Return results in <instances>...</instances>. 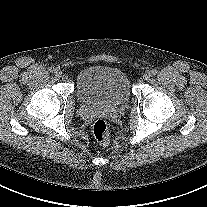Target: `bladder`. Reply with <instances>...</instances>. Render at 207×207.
Wrapping results in <instances>:
<instances>
[{
  "instance_id": "obj_1",
  "label": "bladder",
  "mask_w": 207,
  "mask_h": 207,
  "mask_svg": "<svg viewBox=\"0 0 207 207\" xmlns=\"http://www.w3.org/2000/svg\"><path fill=\"white\" fill-rule=\"evenodd\" d=\"M76 92L82 102L91 106H118L131 96L128 75L112 66H91L76 79Z\"/></svg>"
}]
</instances>
